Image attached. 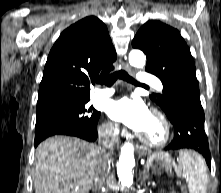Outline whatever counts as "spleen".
<instances>
[{
  "label": "spleen",
  "mask_w": 221,
  "mask_h": 193,
  "mask_svg": "<svg viewBox=\"0 0 221 193\" xmlns=\"http://www.w3.org/2000/svg\"><path fill=\"white\" fill-rule=\"evenodd\" d=\"M178 170L188 184L189 193H206L208 184L207 166L204 159L190 150L179 152Z\"/></svg>",
  "instance_id": "1"
}]
</instances>
